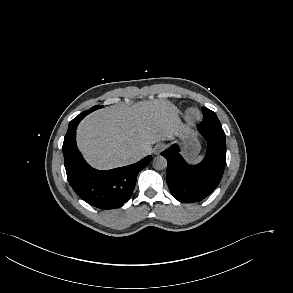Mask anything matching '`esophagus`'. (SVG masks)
Returning <instances> with one entry per match:
<instances>
[{
	"label": "esophagus",
	"mask_w": 293,
	"mask_h": 293,
	"mask_svg": "<svg viewBox=\"0 0 293 293\" xmlns=\"http://www.w3.org/2000/svg\"><path fill=\"white\" fill-rule=\"evenodd\" d=\"M166 148L165 144H158L155 146V148L153 149L154 154L158 155L160 154L164 149Z\"/></svg>",
	"instance_id": "34e87169"
}]
</instances>
